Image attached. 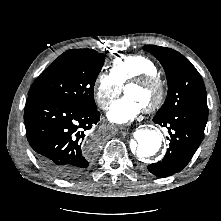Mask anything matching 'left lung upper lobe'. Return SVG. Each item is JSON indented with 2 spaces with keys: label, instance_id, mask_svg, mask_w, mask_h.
I'll use <instances>...</instances> for the list:
<instances>
[{
  "label": "left lung upper lobe",
  "instance_id": "obj_1",
  "mask_svg": "<svg viewBox=\"0 0 221 221\" xmlns=\"http://www.w3.org/2000/svg\"><path fill=\"white\" fill-rule=\"evenodd\" d=\"M143 49L160 61L168 81L167 98L155 116H165L187 108L208 112L204 82L187 58L166 47L146 45Z\"/></svg>",
  "mask_w": 221,
  "mask_h": 221
}]
</instances>
